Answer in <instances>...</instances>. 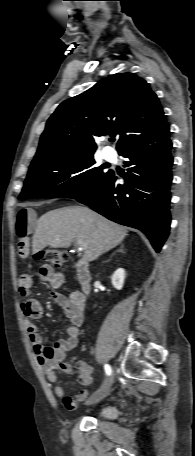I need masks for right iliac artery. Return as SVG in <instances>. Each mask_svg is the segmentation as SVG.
<instances>
[{"label": "right iliac artery", "instance_id": "82829eb1", "mask_svg": "<svg viewBox=\"0 0 195 456\" xmlns=\"http://www.w3.org/2000/svg\"><path fill=\"white\" fill-rule=\"evenodd\" d=\"M104 368H105L106 374L111 375V372H112L111 367L108 364H105Z\"/></svg>", "mask_w": 195, "mask_h": 456}]
</instances>
